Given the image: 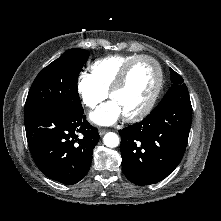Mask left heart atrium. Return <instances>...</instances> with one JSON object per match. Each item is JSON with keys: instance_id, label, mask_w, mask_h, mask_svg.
I'll return each mask as SVG.
<instances>
[{"instance_id": "obj_1", "label": "left heart atrium", "mask_w": 221, "mask_h": 221, "mask_svg": "<svg viewBox=\"0 0 221 221\" xmlns=\"http://www.w3.org/2000/svg\"><path fill=\"white\" fill-rule=\"evenodd\" d=\"M122 116L123 114L118 104L111 100L91 113L90 119L98 125L110 126L116 123Z\"/></svg>"}]
</instances>
